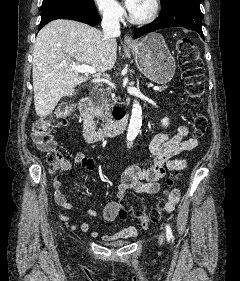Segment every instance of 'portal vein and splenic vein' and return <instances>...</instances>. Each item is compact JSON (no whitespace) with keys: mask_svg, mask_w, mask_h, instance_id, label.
Returning a JSON list of instances; mask_svg holds the SVG:
<instances>
[{"mask_svg":"<svg viewBox=\"0 0 240 281\" xmlns=\"http://www.w3.org/2000/svg\"><path fill=\"white\" fill-rule=\"evenodd\" d=\"M71 69L80 72V73H85V74H95L96 70L95 68L88 66V65H76V64H71ZM161 88L159 86H153L154 91H159Z\"/></svg>","mask_w":240,"mask_h":281,"instance_id":"18ae733b","label":"portal vein and splenic vein"}]
</instances>
